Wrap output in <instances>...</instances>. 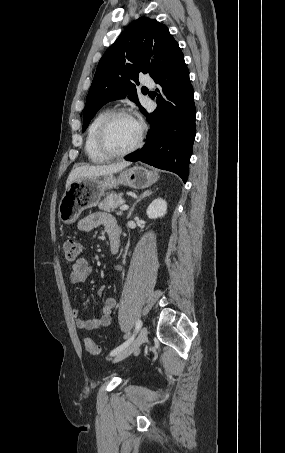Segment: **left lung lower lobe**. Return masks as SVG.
Segmentation results:
<instances>
[{
    "mask_svg": "<svg viewBox=\"0 0 285 453\" xmlns=\"http://www.w3.org/2000/svg\"><path fill=\"white\" fill-rule=\"evenodd\" d=\"M152 78L159 84L157 109L150 114L142 110L151 129L143 148L124 158L174 172L186 182L196 134V109L189 71L178 44Z\"/></svg>",
    "mask_w": 285,
    "mask_h": 453,
    "instance_id": "0a47b994",
    "label": "left lung lower lobe"
}]
</instances>
